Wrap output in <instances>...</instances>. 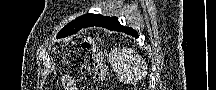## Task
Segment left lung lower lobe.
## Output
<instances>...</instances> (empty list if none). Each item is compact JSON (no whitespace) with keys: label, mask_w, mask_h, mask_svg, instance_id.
<instances>
[{"label":"left lung lower lobe","mask_w":216,"mask_h":90,"mask_svg":"<svg viewBox=\"0 0 216 90\" xmlns=\"http://www.w3.org/2000/svg\"><path fill=\"white\" fill-rule=\"evenodd\" d=\"M91 26L105 27V28L110 29V30L121 31V32L127 33V34L132 35L136 38L138 37V34L135 30H133L130 27H124V26L120 25V23L116 17H111V18L105 17L104 19L99 20L98 22L94 23ZM91 26H89V27H91Z\"/></svg>","instance_id":"1"}]
</instances>
